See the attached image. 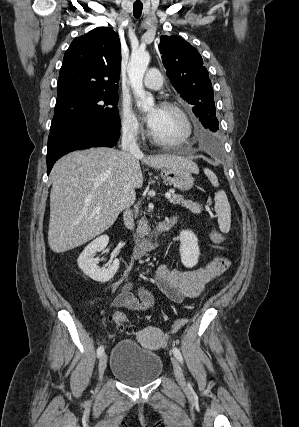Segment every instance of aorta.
I'll list each match as a JSON object with an SVG mask.
<instances>
[{"mask_svg":"<svg viewBox=\"0 0 299 427\" xmlns=\"http://www.w3.org/2000/svg\"><path fill=\"white\" fill-rule=\"evenodd\" d=\"M149 61L150 55L147 51L132 52L128 70L131 88L137 98V106L144 111H149L154 107L153 96L147 93L143 87V77Z\"/></svg>","mask_w":299,"mask_h":427,"instance_id":"aorta-1","label":"aorta"}]
</instances>
